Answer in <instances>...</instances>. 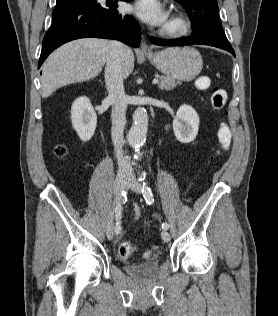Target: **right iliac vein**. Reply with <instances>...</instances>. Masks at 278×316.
Masks as SVG:
<instances>
[{"label": "right iliac vein", "instance_id": "63e3f726", "mask_svg": "<svg viewBox=\"0 0 278 316\" xmlns=\"http://www.w3.org/2000/svg\"><path fill=\"white\" fill-rule=\"evenodd\" d=\"M127 183V177L125 174H119L116 177L114 184V206L120 201V197L125 184ZM106 235L109 240L113 239V212H111L106 225Z\"/></svg>", "mask_w": 278, "mask_h": 316}]
</instances>
